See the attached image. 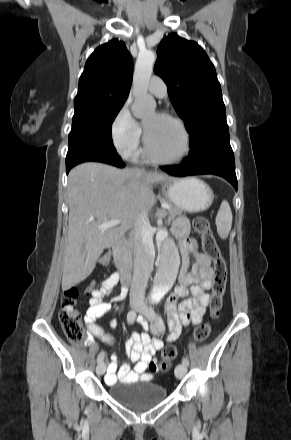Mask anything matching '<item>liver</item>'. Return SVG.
<instances>
[{
  "instance_id": "obj_1",
  "label": "liver",
  "mask_w": 291,
  "mask_h": 440,
  "mask_svg": "<svg viewBox=\"0 0 291 440\" xmlns=\"http://www.w3.org/2000/svg\"><path fill=\"white\" fill-rule=\"evenodd\" d=\"M173 178L143 169L95 162L76 166L68 175V236L62 275L63 291L85 280L104 249L117 243L155 203L153 184ZM108 229L98 226L111 220Z\"/></svg>"
}]
</instances>
